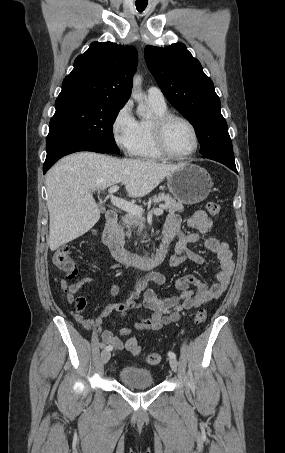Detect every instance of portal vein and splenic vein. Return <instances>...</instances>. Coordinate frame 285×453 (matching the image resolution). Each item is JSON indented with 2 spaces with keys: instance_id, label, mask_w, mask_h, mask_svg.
I'll return each mask as SVG.
<instances>
[{
  "instance_id": "18ae733b",
  "label": "portal vein and splenic vein",
  "mask_w": 285,
  "mask_h": 453,
  "mask_svg": "<svg viewBox=\"0 0 285 453\" xmlns=\"http://www.w3.org/2000/svg\"><path fill=\"white\" fill-rule=\"evenodd\" d=\"M118 189H119V186L113 185L108 190L109 197L111 199L112 204L114 206H116L117 208L122 209V210H124V211H126L128 213L142 215L143 214V209L140 206L132 204V203L126 201V200H123L121 198H118V197L114 196V193ZM153 213L155 215H161V214H163V209L162 208L153 209Z\"/></svg>"
}]
</instances>
